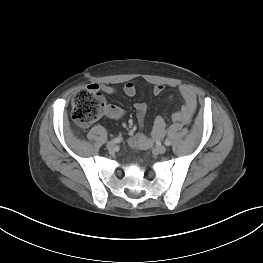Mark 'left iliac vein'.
Masks as SVG:
<instances>
[{"mask_svg":"<svg viewBox=\"0 0 263 263\" xmlns=\"http://www.w3.org/2000/svg\"><path fill=\"white\" fill-rule=\"evenodd\" d=\"M166 147L164 145H157L155 147V151L158 153V154H163L166 152Z\"/></svg>","mask_w":263,"mask_h":263,"instance_id":"4c4485c4","label":"left iliac vein"}]
</instances>
